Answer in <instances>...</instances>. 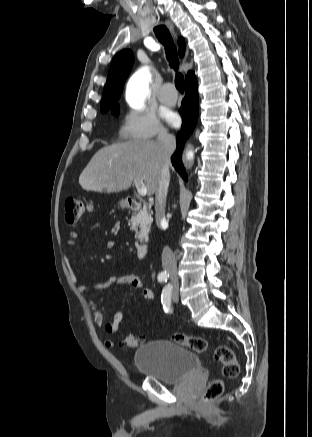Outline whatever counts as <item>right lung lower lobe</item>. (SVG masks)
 I'll return each mask as SVG.
<instances>
[{
	"label": "right lung lower lobe",
	"instance_id": "98d812e1",
	"mask_svg": "<svg viewBox=\"0 0 312 437\" xmlns=\"http://www.w3.org/2000/svg\"><path fill=\"white\" fill-rule=\"evenodd\" d=\"M185 92L186 96L182 101L181 108L179 109L183 118L182 128L177 134V149L172 155L171 161L179 175L184 180H187V174L182 164L181 154L184 143L194 130L198 119V93L195 74L189 76L185 80Z\"/></svg>",
	"mask_w": 312,
	"mask_h": 437
}]
</instances>
